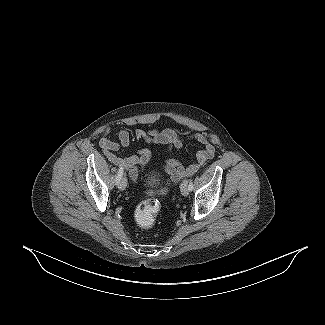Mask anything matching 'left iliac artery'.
Segmentation results:
<instances>
[{"mask_svg": "<svg viewBox=\"0 0 325 325\" xmlns=\"http://www.w3.org/2000/svg\"><path fill=\"white\" fill-rule=\"evenodd\" d=\"M193 189V182L192 180L189 181V190L191 191Z\"/></svg>", "mask_w": 325, "mask_h": 325, "instance_id": "left-iliac-artery-1", "label": "left iliac artery"}]
</instances>
